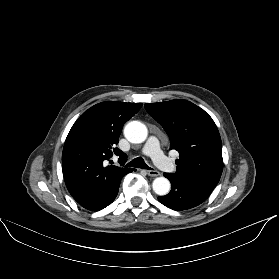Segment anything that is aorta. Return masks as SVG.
I'll return each instance as SVG.
<instances>
[{"mask_svg": "<svg viewBox=\"0 0 279 279\" xmlns=\"http://www.w3.org/2000/svg\"><path fill=\"white\" fill-rule=\"evenodd\" d=\"M124 135L131 143H142L148 135L147 127L139 121H131L124 128ZM153 190L163 196L170 191V182L165 177H158L153 181Z\"/></svg>", "mask_w": 279, "mask_h": 279, "instance_id": "obj_1", "label": "aorta"}]
</instances>
